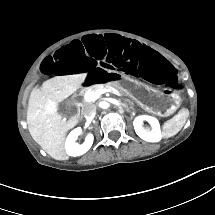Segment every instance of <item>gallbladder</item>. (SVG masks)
Listing matches in <instances>:
<instances>
[{
	"label": "gallbladder",
	"mask_w": 215,
	"mask_h": 215,
	"mask_svg": "<svg viewBox=\"0 0 215 215\" xmlns=\"http://www.w3.org/2000/svg\"><path fill=\"white\" fill-rule=\"evenodd\" d=\"M60 109L62 110L63 114L66 116H72L76 114V105L75 104L68 105L66 101H63L61 103Z\"/></svg>",
	"instance_id": "bac80fb5"
}]
</instances>
